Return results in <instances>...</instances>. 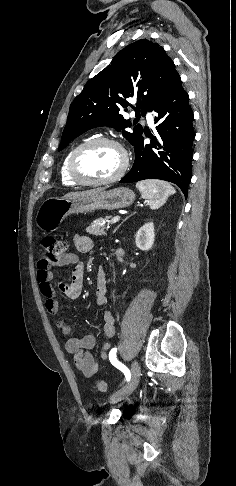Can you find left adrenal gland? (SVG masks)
<instances>
[{
	"mask_svg": "<svg viewBox=\"0 0 236 486\" xmlns=\"http://www.w3.org/2000/svg\"><path fill=\"white\" fill-rule=\"evenodd\" d=\"M128 218H129V217H128ZM128 218H126L124 221H126ZM124 221H123V222H124ZM123 222H122L121 224H119V225H118V226L115 228L114 233L117 231V229H119V227H120V226L123 224Z\"/></svg>",
	"mask_w": 236,
	"mask_h": 486,
	"instance_id": "left-adrenal-gland-1",
	"label": "left adrenal gland"
}]
</instances>
